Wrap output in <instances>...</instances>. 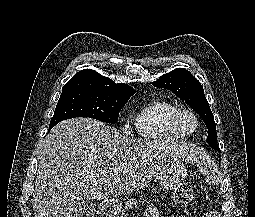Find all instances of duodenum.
<instances>
[{
	"instance_id": "410a0bca",
	"label": "duodenum",
	"mask_w": 255,
	"mask_h": 217,
	"mask_svg": "<svg viewBox=\"0 0 255 217\" xmlns=\"http://www.w3.org/2000/svg\"><path fill=\"white\" fill-rule=\"evenodd\" d=\"M113 212V207L110 204L102 203L98 207V213L102 217H106Z\"/></svg>"
}]
</instances>
